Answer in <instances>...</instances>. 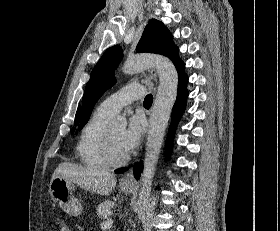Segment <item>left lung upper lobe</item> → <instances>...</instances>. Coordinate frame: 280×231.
<instances>
[{
    "label": "left lung upper lobe",
    "instance_id": "5c2ea615",
    "mask_svg": "<svg viewBox=\"0 0 280 231\" xmlns=\"http://www.w3.org/2000/svg\"><path fill=\"white\" fill-rule=\"evenodd\" d=\"M137 52H150L167 56L174 63L178 74L184 69V63L178 57L172 35L162 22L152 19L146 26L136 47ZM123 58L121 46L108 48L94 67L88 81L82 107V118L79 130L87 123L95 103L99 97L115 84L114 70Z\"/></svg>",
    "mask_w": 280,
    "mask_h": 231
}]
</instances>
